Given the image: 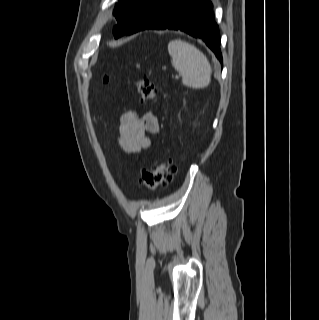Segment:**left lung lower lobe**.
Instances as JSON below:
<instances>
[{
    "instance_id": "obj_1",
    "label": "left lung lower lobe",
    "mask_w": 319,
    "mask_h": 320,
    "mask_svg": "<svg viewBox=\"0 0 319 320\" xmlns=\"http://www.w3.org/2000/svg\"><path fill=\"white\" fill-rule=\"evenodd\" d=\"M209 0H158L129 28L126 35L145 29L180 30L202 40L222 62L219 28Z\"/></svg>"
}]
</instances>
